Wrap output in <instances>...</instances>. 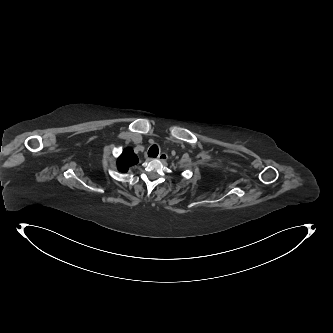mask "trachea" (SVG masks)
<instances>
[{
    "mask_svg": "<svg viewBox=\"0 0 333 333\" xmlns=\"http://www.w3.org/2000/svg\"><path fill=\"white\" fill-rule=\"evenodd\" d=\"M159 154V149L157 145H152L148 150V156L149 157H157Z\"/></svg>",
    "mask_w": 333,
    "mask_h": 333,
    "instance_id": "1",
    "label": "trachea"
}]
</instances>
